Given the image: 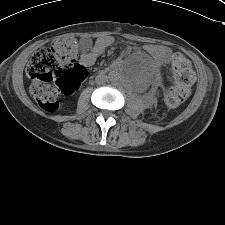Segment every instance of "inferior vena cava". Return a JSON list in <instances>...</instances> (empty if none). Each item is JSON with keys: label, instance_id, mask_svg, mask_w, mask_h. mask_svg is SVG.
<instances>
[{"label": "inferior vena cava", "instance_id": "1", "mask_svg": "<svg viewBox=\"0 0 225 225\" xmlns=\"http://www.w3.org/2000/svg\"><path fill=\"white\" fill-rule=\"evenodd\" d=\"M105 82V79L103 78V77H99L98 79H97V83H104Z\"/></svg>", "mask_w": 225, "mask_h": 225}]
</instances>
